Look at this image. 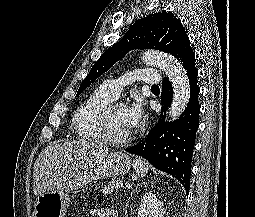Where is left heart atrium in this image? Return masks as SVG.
<instances>
[{"label": "left heart atrium", "instance_id": "obj_1", "mask_svg": "<svg viewBox=\"0 0 255 217\" xmlns=\"http://www.w3.org/2000/svg\"><path fill=\"white\" fill-rule=\"evenodd\" d=\"M126 115H127L128 125L131 131L138 129L144 118L141 105L139 103H134L126 107Z\"/></svg>", "mask_w": 255, "mask_h": 217}]
</instances>
